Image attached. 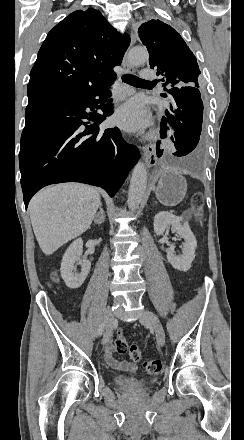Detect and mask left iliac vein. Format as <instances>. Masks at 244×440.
Wrapping results in <instances>:
<instances>
[{"label":"left iliac vein","instance_id":"obj_1","mask_svg":"<svg viewBox=\"0 0 244 440\" xmlns=\"http://www.w3.org/2000/svg\"><path fill=\"white\" fill-rule=\"evenodd\" d=\"M140 321L142 324L148 325L154 330L158 345L164 346L165 333L157 315L149 310H143L140 316Z\"/></svg>","mask_w":244,"mask_h":440}]
</instances>
